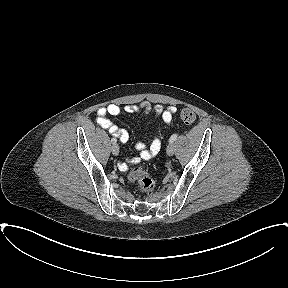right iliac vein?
Returning a JSON list of instances; mask_svg holds the SVG:
<instances>
[{"label": "right iliac vein", "mask_w": 288, "mask_h": 288, "mask_svg": "<svg viewBox=\"0 0 288 288\" xmlns=\"http://www.w3.org/2000/svg\"><path fill=\"white\" fill-rule=\"evenodd\" d=\"M111 151L113 155H118L119 154V146L117 144H113L111 147Z\"/></svg>", "instance_id": "63e3f726"}]
</instances>
